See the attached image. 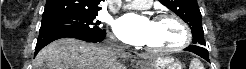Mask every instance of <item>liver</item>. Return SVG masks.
I'll list each match as a JSON object with an SVG mask.
<instances>
[{
  "instance_id": "6515ba94",
  "label": "liver",
  "mask_w": 246,
  "mask_h": 69,
  "mask_svg": "<svg viewBox=\"0 0 246 69\" xmlns=\"http://www.w3.org/2000/svg\"><path fill=\"white\" fill-rule=\"evenodd\" d=\"M127 58L122 51L99 44L85 43L73 38L54 41L36 56L34 69H126L118 58ZM140 58L152 56L140 54Z\"/></svg>"
}]
</instances>
